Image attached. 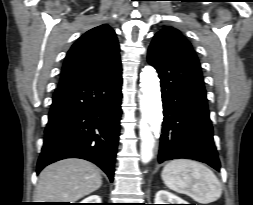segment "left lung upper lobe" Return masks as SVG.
Segmentation results:
<instances>
[{
  "instance_id": "1",
  "label": "left lung upper lobe",
  "mask_w": 253,
  "mask_h": 205,
  "mask_svg": "<svg viewBox=\"0 0 253 205\" xmlns=\"http://www.w3.org/2000/svg\"><path fill=\"white\" fill-rule=\"evenodd\" d=\"M157 34H168V35L174 36L177 39H179V40L183 41L184 43H186L187 45H189L190 47H192L191 44L187 41V39L177 29H173V28L169 27V28L161 30Z\"/></svg>"
}]
</instances>
